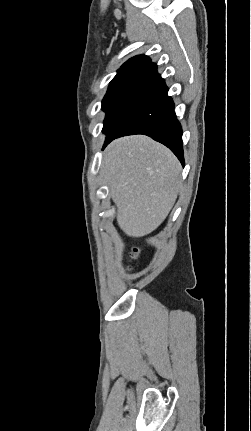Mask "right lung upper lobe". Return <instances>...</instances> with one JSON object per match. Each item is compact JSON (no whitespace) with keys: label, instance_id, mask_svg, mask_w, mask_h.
<instances>
[{"label":"right lung upper lobe","instance_id":"obj_1","mask_svg":"<svg viewBox=\"0 0 251 431\" xmlns=\"http://www.w3.org/2000/svg\"><path fill=\"white\" fill-rule=\"evenodd\" d=\"M150 64H152V62L148 56L139 55V56H135V57L129 59L127 62H125L121 66V69L130 68V67L148 68L150 66Z\"/></svg>","mask_w":251,"mask_h":431}]
</instances>
